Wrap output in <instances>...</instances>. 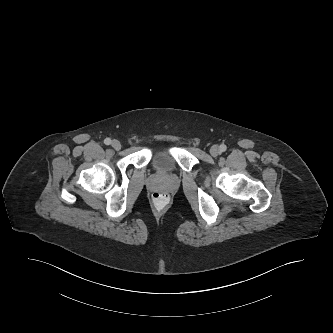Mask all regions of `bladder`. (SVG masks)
Listing matches in <instances>:
<instances>
[{
    "mask_svg": "<svg viewBox=\"0 0 333 333\" xmlns=\"http://www.w3.org/2000/svg\"><path fill=\"white\" fill-rule=\"evenodd\" d=\"M154 166L159 170H165L172 166L173 159L169 152L165 150H156L152 154Z\"/></svg>",
    "mask_w": 333,
    "mask_h": 333,
    "instance_id": "1",
    "label": "bladder"
}]
</instances>
